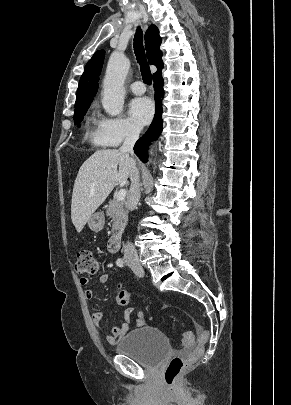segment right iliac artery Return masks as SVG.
<instances>
[{
	"label": "right iliac artery",
	"mask_w": 291,
	"mask_h": 405,
	"mask_svg": "<svg viewBox=\"0 0 291 405\" xmlns=\"http://www.w3.org/2000/svg\"><path fill=\"white\" fill-rule=\"evenodd\" d=\"M116 263H117V265H118L119 267H123V266H124V261H123L122 259H118Z\"/></svg>",
	"instance_id": "obj_1"
}]
</instances>
